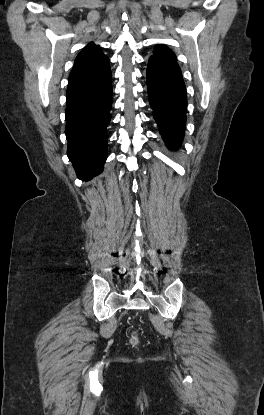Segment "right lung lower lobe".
Wrapping results in <instances>:
<instances>
[{"mask_svg":"<svg viewBox=\"0 0 264 415\" xmlns=\"http://www.w3.org/2000/svg\"><path fill=\"white\" fill-rule=\"evenodd\" d=\"M112 73L68 83L66 93L67 155L79 179L90 180L107 158V125L112 106Z\"/></svg>","mask_w":264,"mask_h":415,"instance_id":"1","label":"right lung lower lobe"}]
</instances>
